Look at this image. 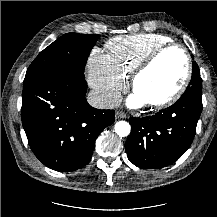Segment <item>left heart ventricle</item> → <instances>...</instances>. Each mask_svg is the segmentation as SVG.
<instances>
[{"mask_svg": "<svg viewBox=\"0 0 217 217\" xmlns=\"http://www.w3.org/2000/svg\"><path fill=\"white\" fill-rule=\"evenodd\" d=\"M185 70V58L180 51L165 52L139 78L135 94L144 102L165 98L178 88Z\"/></svg>", "mask_w": 217, "mask_h": 217, "instance_id": "1", "label": "left heart ventricle"}]
</instances>
